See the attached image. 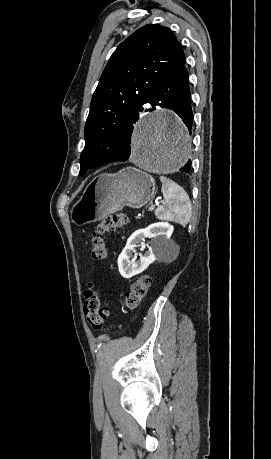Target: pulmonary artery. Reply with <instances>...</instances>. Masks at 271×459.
Masks as SVG:
<instances>
[{
    "label": "pulmonary artery",
    "instance_id": "obj_1",
    "mask_svg": "<svg viewBox=\"0 0 271 459\" xmlns=\"http://www.w3.org/2000/svg\"><path fill=\"white\" fill-rule=\"evenodd\" d=\"M145 108H146L147 110H152V109L154 108V103H153L152 101H147V102L145 103Z\"/></svg>",
    "mask_w": 271,
    "mask_h": 459
}]
</instances>
